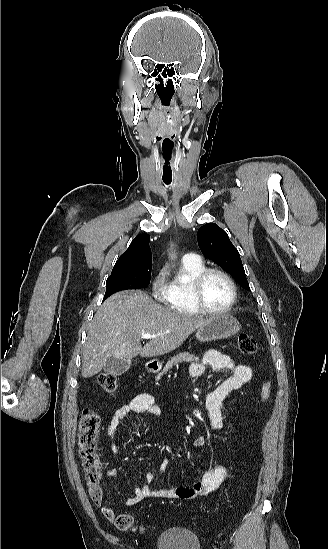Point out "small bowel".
Masks as SVG:
<instances>
[{"mask_svg":"<svg viewBox=\"0 0 328 549\" xmlns=\"http://www.w3.org/2000/svg\"><path fill=\"white\" fill-rule=\"evenodd\" d=\"M206 366H210L213 370L217 371L231 372V376L210 392L205 400L209 426L212 430H219L223 426L222 403L230 394L251 381L253 371L250 366L236 362L228 354L217 350H209L203 355L200 361L190 365L189 373L192 377H201L205 372ZM131 414L162 416V412L155 404L154 397L148 393L139 394L127 404L119 407L112 415L106 428V436L111 440L115 452H117L116 437L119 425ZM206 443L207 437L200 435L194 439L192 446L194 448H201ZM168 463V459H163L157 469L147 472L144 476L146 484L136 487L133 491V496L126 500L125 505L133 506L145 498L152 496L176 500H191L197 497H204L217 490L228 477L227 468L223 465H217L206 470L200 479L194 481L189 486H171L153 490L150 484L157 480ZM116 475L117 473L114 469L106 472L107 478H115ZM102 512L107 518H109L108 515H114V512L107 507H103Z\"/></svg>","mask_w":328,"mask_h":549,"instance_id":"1","label":"small bowel"}]
</instances>
